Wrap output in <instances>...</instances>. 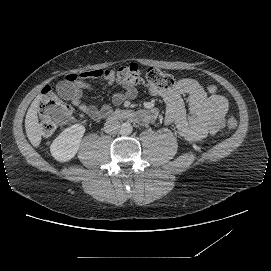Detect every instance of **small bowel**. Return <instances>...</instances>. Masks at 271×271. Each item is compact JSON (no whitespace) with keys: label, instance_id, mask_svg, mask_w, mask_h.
<instances>
[{"label":"small bowel","instance_id":"obj_1","mask_svg":"<svg viewBox=\"0 0 271 271\" xmlns=\"http://www.w3.org/2000/svg\"><path fill=\"white\" fill-rule=\"evenodd\" d=\"M99 78L103 79L104 87L119 85L123 89L112 96L111 104L114 106L122 105L137 95L135 86L123 82L113 70L97 69L69 75L67 80L73 88L71 103L94 121H100L112 111V106L108 103L97 108L81 101L83 92L91 89V85L86 81ZM184 97L188 98L187 110ZM163 100L166 105L165 124L174 126L178 136L185 140L196 141L214 135L225 125L228 102L225 97L218 94L217 88L213 85L204 88L194 79L182 78L163 93ZM141 116L142 121L150 122L157 118L158 112L151 109L143 112Z\"/></svg>","mask_w":271,"mask_h":271}]
</instances>
